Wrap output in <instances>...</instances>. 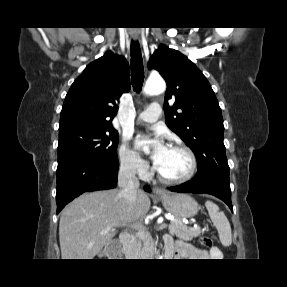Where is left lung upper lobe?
<instances>
[{
  "mask_svg": "<svg viewBox=\"0 0 287 287\" xmlns=\"http://www.w3.org/2000/svg\"><path fill=\"white\" fill-rule=\"evenodd\" d=\"M148 67L159 71L167 83V126L197 158L198 172L193 180H229L222 113L206 77L185 55L162 44L150 57Z\"/></svg>",
  "mask_w": 287,
  "mask_h": 287,
  "instance_id": "1",
  "label": "left lung upper lobe"
}]
</instances>
